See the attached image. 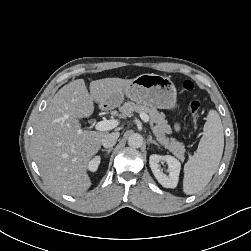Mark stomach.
I'll return each mask as SVG.
<instances>
[{"mask_svg":"<svg viewBox=\"0 0 251 251\" xmlns=\"http://www.w3.org/2000/svg\"><path fill=\"white\" fill-rule=\"evenodd\" d=\"M126 95L137 104L152 108L172 110L176 107L177 92L170 78L157 74H142L119 91L113 92L108 107L119 106Z\"/></svg>","mask_w":251,"mask_h":251,"instance_id":"0dacf381","label":"stomach"}]
</instances>
